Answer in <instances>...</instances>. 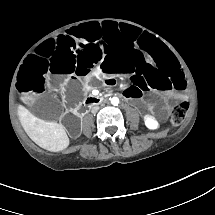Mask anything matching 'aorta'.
I'll list each match as a JSON object with an SVG mask.
<instances>
[{
    "label": "aorta",
    "mask_w": 215,
    "mask_h": 215,
    "mask_svg": "<svg viewBox=\"0 0 215 215\" xmlns=\"http://www.w3.org/2000/svg\"><path fill=\"white\" fill-rule=\"evenodd\" d=\"M111 104L114 106H117L119 104V98L118 97H113L111 99Z\"/></svg>",
    "instance_id": "1"
}]
</instances>
